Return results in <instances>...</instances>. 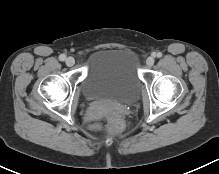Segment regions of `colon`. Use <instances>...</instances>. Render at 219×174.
Wrapping results in <instances>:
<instances>
[{"label": "colon", "mask_w": 219, "mask_h": 174, "mask_svg": "<svg viewBox=\"0 0 219 174\" xmlns=\"http://www.w3.org/2000/svg\"><path fill=\"white\" fill-rule=\"evenodd\" d=\"M94 127H98V125H94ZM123 127V121L119 115L115 113H111L108 116V128L111 132H118Z\"/></svg>", "instance_id": "5ec220e1"}]
</instances>
